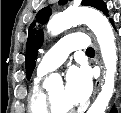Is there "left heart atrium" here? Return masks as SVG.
Wrapping results in <instances>:
<instances>
[{
  "label": "left heart atrium",
  "mask_w": 121,
  "mask_h": 113,
  "mask_svg": "<svg viewBox=\"0 0 121 113\" xmlns=\"http://www.w3.org/2000/svg\"><path fill=\"white\" fill-rule=\"evenodd\" d=\"M91 74L86 67H73L66 75L65 94L72 104L84 103L91 94Z\"/></svg>",
  "instance_id": "39dd6f15"
}]
</instances>
